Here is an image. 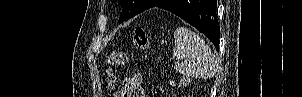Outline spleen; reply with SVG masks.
<instances>
[{
    "instance_id": "obj_1",
    "label": "spleen",
    "mask_w": 302,
    "mask_h": 97,
    "mask_svg": "<svg viewBox=\"0 0 302 97\" xmlns=\"http://www.w3.org/2000/svg\"><path fill=\"white\" fill-rule=\"evenodd\" d=\"M173 58L181 60L175 69L183 75L208 79L214 76L217 62L210 47L195 32L186 27L174 31Z\"/></svg>"
}]
</instances>
